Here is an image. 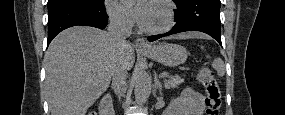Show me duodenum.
Instances as JSON below:
<instances>
[{
	"label": "duodenum",
	"mask_w": 285,
	"mask_h": 115,
	"mask_svg": "<svg viewBox=\"0 0 285 115\" xmlns=\"http://www.w3.org/2000/svg\"><path fill=\"white\" fill-rule=\"evenodd\" d=\"M101 115H113V107L108 96L104 97L100 102Z\"/></svg>",
	"instance_id": "duodenum-1"
}]
</instances>
